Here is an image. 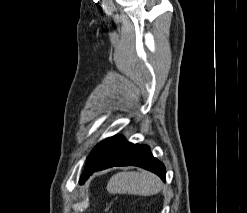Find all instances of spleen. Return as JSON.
I'll list each match as a JSON object with an SVG mask.
<instances>
[{
	"instance_id": "spleen-1",
	"label": "spleen",
	"mask_w": 247,
	"mask_h": 213,
	"mask_svg": "<svg viewBox=\"0 0 247 213\" xmlns=\"http://www.w3.org/2000/svg\"><path fill=\"white\" fill-rule=\"evenodd\" d=\"M161 189V180L147 171L117 173L110 178L107 185L108 192L112 194L150 196L157 194Z\"/></svg>"
}]
</instances>
